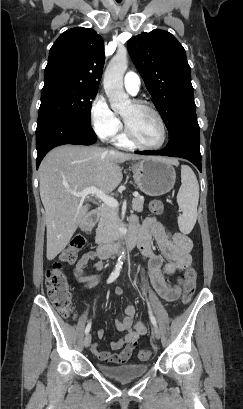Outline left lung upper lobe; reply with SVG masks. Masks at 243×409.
<instances>
[{
	"label": "left lung upper lobe",
	"mask_w": 243,
	"mask_h": 409,
	"mask_svg": "<svg viewBox=\"0 0 243 409\" xmlns=\"http://www.w3.org/2000/svg\"><path fill=\"white\" fill-rule=\"evenodd\" d=\"M128 51L170 134L181 117L196 110L183 46L171 33L155 29L132 37Z\"/></svg>",
	"instance_id": "left-lung-upper-lobe-1"
}]
</instances>
